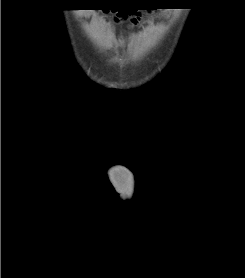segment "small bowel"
<instances>
[{
    "instance_id": "1",
    "label": "small bowel",
    "mask_w": 245,
    "mask_h": 278,
    "mask_svg": "<svg viewBox=\"0 0 245 278\" xmlns=\"http://www.w3.org/2000/svg\"><path fill=\"white\" fill-rule=\"evenodd\" d=\"M113 1H115V0H113ZM116 1H118V0H116ZM119 1H127V0H119ZM110 4H111V2H110Z\"/></svg>"
}]
</instances>
